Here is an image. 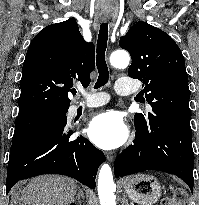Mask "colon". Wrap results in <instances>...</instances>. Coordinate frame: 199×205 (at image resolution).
Returning a JSON list of instances; mask_svg holds the SVG:
<instances>
[{
  "label": "colon",
  "mask_w": 199,
  "mask_h": 205,
  "mask_svg": "<svg viewBox=\"0 0 199 205\" xmlns=\"http://www.w3.org/2000/svg\"><path fill=\"white\" fill-rule=\"evenodd\" d=\"M184 199H185V194L183 192H180L178 195V200L166 198L162 201L161 205H177L179 201H183Z\"/></svg>",
  "instance_id": "5ec220e1"
}]
</instances>
